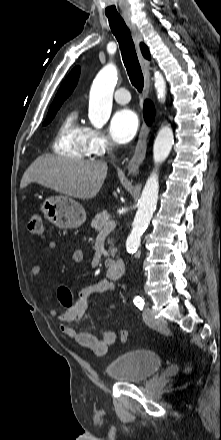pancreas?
<instances>
[{"instance_id": "obj_1", "label": "pancreas", "mask_w": 221, "mask_h": 440, "mask_svg": "<svg viewBox=\"0 0 221 440\" xmlns=\"http://www.w3.org/2000/svg\"><path fill=\"white\" fill-rule=\"evenodd\" d=\"M110 214L107 211L97 213L91 222V227L96 231H102L107 223L110 221ZM112 250V249H111Z\"/></svg>"}]
</instances>
